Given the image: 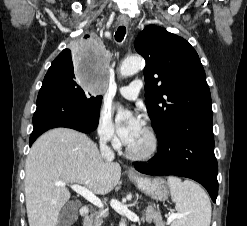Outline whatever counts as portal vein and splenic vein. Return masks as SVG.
<instances>
[{
  "label": "portal vein and splenic vein",
  "mask_w": 247,
  "mask_h": 226,
  "mask_svg": "<svg viewBox=\"0 0 247 226\" xmlns=\"http://www.w3.org/2000/svg\"><path fill=\"white\" fill-rule=\"evenodd\" d=\"M56 185L59 187H65L66 186V184H64V183H57ZM70 187L73 191H75L76 193H78L79 195L84 197L90 203L103 209V204H102L101 200L96 195H94V193H92L90 190H88L86 187H83L80 185H75V184L71 185ZM179 217H180L179 214L171 213L167 219V222L170 223L174 219L179 218Z\"/></svg>",
  "instance_id": "obj_1"
}]
</instances>
